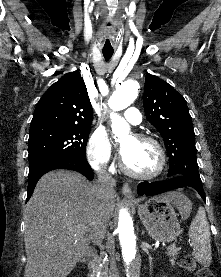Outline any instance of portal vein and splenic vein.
Returning a JSON list of instances; mask_svg holds the SVG:
<instances>
[{"label": "portal vein and splenic vein", "mask_w": 221, "mask_h": 277, "mask_svg": "<svg viewBox=\"0 0 221 277\" xmlns=\"http://www.w3.org/2000/svg\"><path fill=\"white\" fill-rule=\"evenodd\" d=\"M174 248H176L175 244H171L170 246H168L167 250L169 251V250H172Z\"/></svg>", "instance_id": "18ae733b"}]
</instances>
